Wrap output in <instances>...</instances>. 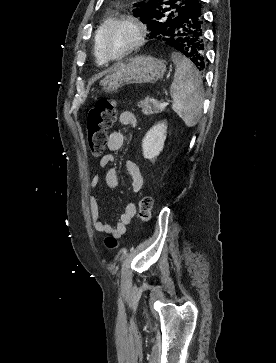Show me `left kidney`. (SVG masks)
<instances>
[{
	"label": "left kidney",
	"mask_w": 276,
	"mask_h": 363,
	"mask_svg": "<svg viewBox=\"0 0 276 363\" xmlns=\"http://www.w3.org/2000/svg\"><path fill=\"white\" fill-rule=\"evenodd\" d=\"M167 135L165 122L154 125L142 140L143 156L146 159L154 160L163 150Z\"/></svg>",
	"instance_id": "5707ae66"
}]
</instances>
